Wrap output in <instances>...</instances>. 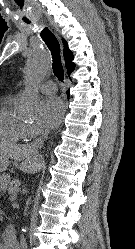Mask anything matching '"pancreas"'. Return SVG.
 I'll return each instance as SVG.
<instances>
[{
	"mask_svg": "<svg viewBox=\"0 0 135 249\" xmlns=\"http://www.w3.org/2000/svg\"><path fill=\"white\" fill-rule=\"evenodd\" d=\"M19 186H20V181L19 180H17V179L12 180L9 183L7 191L9 192V194H11V196H16L15 194L17 193Z\"/></svg>",
	"mask_w": 135,
	"mask_h": 249,
	"instance_id": "obj_1",
	"label": "pancreas"
}]
</instances>
